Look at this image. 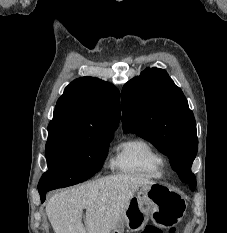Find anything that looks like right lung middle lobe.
<instances>
[{"label":"right lung middle lobe","mask_w":227,"mask_h":233,"mask_svg":"<svg viewBox=\"0 0 227 233\" xmlns=\"http://www.w3.org/2000/svg\"><path fill=\"white\" fill-rule=\"evenodd\" d=\"M113 135L49 134L46 143L49 170L41 177L38 190L50 191L91 178L102 168Z\"/></svg>","instance_id":"dd1d6c3e"}]
</instances>
